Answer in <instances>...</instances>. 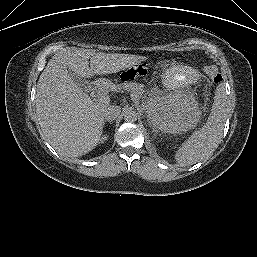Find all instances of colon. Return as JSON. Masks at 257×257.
<instances>
[{
  "mask_svg": "<svg viewBox=\"0 0 257 257\" xmlns=\"http://www.w3.org/2000/svg\"><path fill=\"white\" fill-rule=\"evenodd\" d=\"M149 71L150 67L147 64L135 65L123 71L121 74V79L124 81L135 80L146 76ZM205 73L213 83H220L222 81V76L215 66H206Z\"/></svg>",
  "mask_w": 257,
  "mask_h": 257,
  "instance_id": "1",
  "label": "colon"
}]
</instances>
